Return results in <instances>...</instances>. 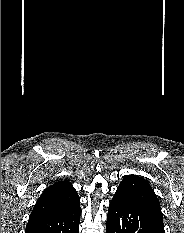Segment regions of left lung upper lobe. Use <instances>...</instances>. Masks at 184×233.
Listing matches in <instances>:
<instances>
[{"label":"left lung upper lobe","instance_id":"1","mask_svg":"<svg viewBox=\"0 0 184 233\" xmlns=\"http://www.w3.org/2000/svg\"><path fill=\"white\" fill-rule=\"evenodd\" d=\"M116 193L124 194L126 197L144 208L153 222L164 230L163 215L156 194L148 181L137 176L128 175L120 183Z\"/></svg>","mask_w":184,"mask_h":233}]
</instances>
